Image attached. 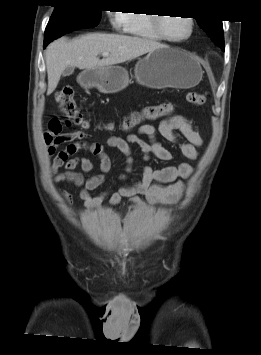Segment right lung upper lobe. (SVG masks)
<instances>
[{"label": "right lung upper lobe", "mask_w": 261, "mask_h": 355, "mask_svg": "<svg viewBox=\"0 0 261 355\" xmlns=\"http://www.w3.org/2000/svg\"><path fill=\"white\" fill-rule=\"evenodd\" d=\"M65 1H69V0H56L57 3H61V2H65Z\"/></svg>", "instance_id": "1"}]
</instances>
